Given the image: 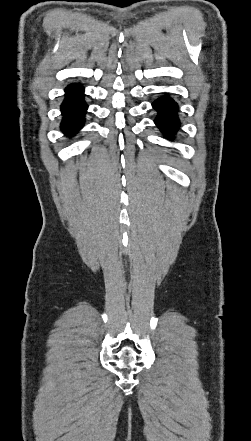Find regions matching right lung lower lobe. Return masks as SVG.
I'll return each mask as SVG.
<instances>
[{
  "label": "right lung lower lobe",
  "instance_id": "right-lung-lower-lobe-1",
  "mask_svg": "<svg viewBox=\"0 0 251 441\" xmlns=\"http://www.w3.org/2000/svg\"><path fill=\"white\" fill-rule=\"evenodd\" d=\"M65 92V100L61 106L63 120L60 127L66 135L71 136L82 128L87 105L84 101V88L80 84H70Z\"/></svg>",
  "mask_w": 251,
  "mask_h": 441
}]
</instances>
